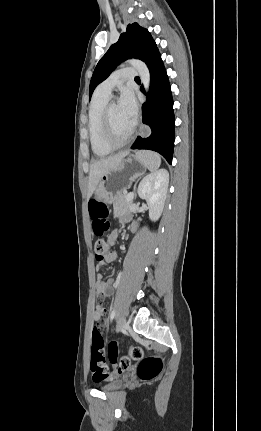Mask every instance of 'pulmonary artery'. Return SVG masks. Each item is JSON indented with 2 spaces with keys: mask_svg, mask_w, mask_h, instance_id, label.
<instances>
[{
  "mask_svg": "<svg viewBox=\"0 0 261 431\" xmlns=\"http://www.w3.org/2000/svg\"><path fill=\"white\" fill-rule=\"evenodd\" d=\"M137 74V70L132 67L116 70L98 85L96 91L105 95H110L116 86L122 84L126 80L133 79Z\"/></svg>",
  "mask_w": 261,
  "mask_h": 431,
  "instance_id": "e3ab8cb5",
  "label": "pulmonary artery"
}]
</instances>
